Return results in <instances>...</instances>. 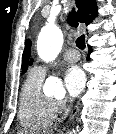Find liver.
<instances>
[{"mask_svg":"<svg viewBox=\"0 0 116 134\" xmlns=\"http://www.w3.org/2000/svg\"><path fill=\"white\" fill-rule=\"evenodd\" d=\"M19 134H24V132H20ZM45 134H52V132H47Z\"/></svg>","mask_w":116,"mask_h":134,"instance_id":"liver-1","label":"liver"}]
</instances>
